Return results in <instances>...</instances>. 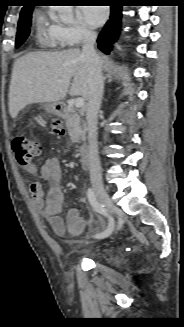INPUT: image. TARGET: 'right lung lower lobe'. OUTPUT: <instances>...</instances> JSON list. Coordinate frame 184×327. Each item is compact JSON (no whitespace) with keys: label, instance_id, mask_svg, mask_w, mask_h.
Here are the masks:
<instances>
[{"label":"right lung lower lobe","instance_id":"1","mask_svg":"<svg viewBox=\"0 0 184 327\" xmlns=\"http://www.w3.org/2000/svg\"><path fill=\"white\" fill-rule=\"evenodd\" d=\"M122 6H111L110 19L99 34L97 43L98 48L105 54H109L112 50V44L118 38L121 28Z\"/></svg>","mask_w":184,"mask_h":327}]
</instances>
